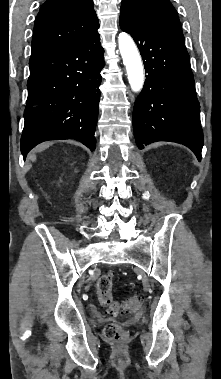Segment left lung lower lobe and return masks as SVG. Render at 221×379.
<instances>
[{"label":"left lung lower lobe","instance_id":"obj_1","mask_svg":"<svg viewBox=\"0 0 221 379\" xmlns=\"http://www.w3.org/2000/svg\"><path fill=\"white\" fill-rule=\"evenodd\" d=\"M120 27L135 40L148 73L133 109L137 146L177 142L188 146L200 161V105L183 34L145 23L128 6H121Z\"/></svg>","mask_w":221,"mask_h":379}]
</instances>
